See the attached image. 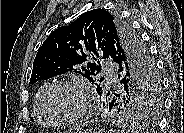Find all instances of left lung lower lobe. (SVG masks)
Instances as JSON below:
<instances>
[{
    "mask_svg": "<svg viewBox=\"0 0 184 133\" xmlns=\"http://www.w3.org/2000/svg\"><path fill=\"white\" fill-rule=\"evenodd\" d=\"M118 77L121 79V80H120V85L124 86V85H125V80H124V77H122V74H121V72H120V68H119ZM109 92H110V91L106 92V90H104V91L100 92L99 95H100V96H106V99H107V96H109ZM106 93H107V94H106ZM103 105H104V104H103ZM113 108H114V104H113V103L107 104V112H109L110 114H114V113H113ZM127 119H128V120H131V121H134V122H137V121L142 120V118H139V119H138V118H136V119H134V118H131V119L127 118Z\"/></svg>",
    "mask_w": 184,
    "mask_h": 133,
    "instance_id": "0a47b994",
    "label": "left lung lower lobe"
}]
</instances>
